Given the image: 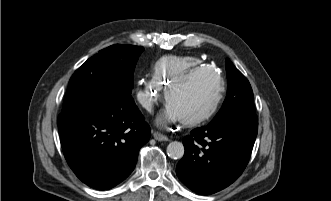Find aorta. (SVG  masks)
Listing matches in <instances>:
<instances>
[{
    "instance_id": "aorta-1",
    "label": "aorta",
    "mask_w": 331,
    "mask_h": 201,
    "mask_svg": "<svg viewBox=\"0 0 331 201\" xmlns=\"http://www.w3.org/2000/svg\"><path fill=\"white\" fill-rule=\"evenodd\" d=\"M167 154L172 159H181L184 155L185 149L181 142L173 141L167 146Z\"/></svg>"
}]
</instances>
